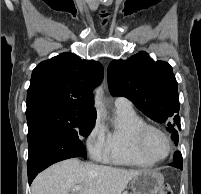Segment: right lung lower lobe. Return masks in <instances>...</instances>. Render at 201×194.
Listing matches in <instances>:
<instances>
[{
	"mask_svg": "<svg viewBox=\"0 0 201 194\" xmlns=\"http://www.w3.org/2000/svg\"><path fill=\"white\" fill-rule=\"evenodd\" d=\"M29 156L27 162L28 181L32 183L36 175L61 160L79 157L86 151L82 142L47 123H37L28 128Z\"/></svg>",
	"mask_w": 201,
	"mask_h": 194,
	"instance_id": "obj_1",
	"label": "right lung lower lobe"
}]
</instances>
